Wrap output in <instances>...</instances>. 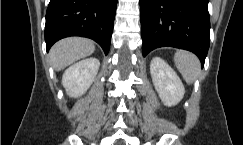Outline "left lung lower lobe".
Wrapping results in <instances>:
<instances>
[{
    "mask_svg": "<svg viewBox=\"0 0 243 145\" xmlns=\"http://www.w3.org/2000/svg\"><path fill=\"white\" fill-rule=\"evenodd\" d=\"M209 0H140L142 52L170 46L195 53L202 66L209 49Z\"/></svg>",
    "mask_w": 243,
    "mask_h": 145,
    "instance_id": "0a47b994",
    "label": "left lung lower lobe"
}]
</instances>
